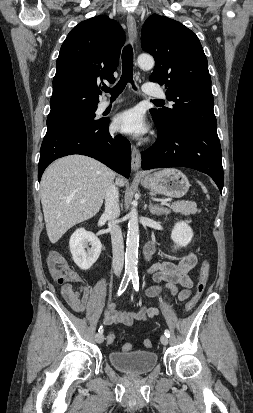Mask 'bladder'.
I'll return each mask as SVG.
<instances>
[{"label":"bladder","mask_w":253,"mask_h":413,"mask_svg":"<svg viewBox=\"0 0 253 413\" xmlns=\"http://www.w3.org/2000/svg\"><path fill=\"white\" fill-rule=\"evenodd\" d=\"M108 358L114 368L131 375L147 374L158 363L157 353L150 350L112 351L109 353Z\"/></svg>","instance_id":"1"}]
</instances>
